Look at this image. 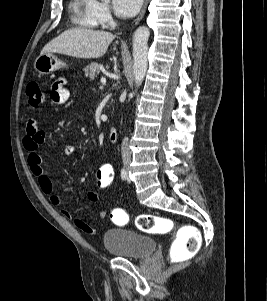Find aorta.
I'll list each match as a JSON object with an SVG mask.
<instances>
[{"mask_svg": "<svg viewBox=\"0 0 267 301\" xmlns=\"http://www.w3.org/2000/svg\"><path fill=\"white\" fill-rule=\"evenodd\" d=\"M109 1V0H104ZM150 36V31L146 26L139 27L133 37V72L136 86L139 87L146 75L148 67V39Z\"/></svg>", "mask_w": 267, "mask_h": 301, "instance_id": "1", "label": "aorta"}]
</instances>
